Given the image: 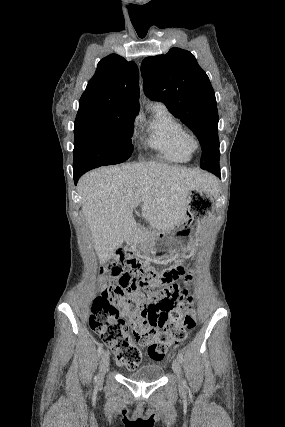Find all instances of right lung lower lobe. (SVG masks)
Segmentation results:
<instances>
[{
    "label": "right lung lower lobe",
    "mask_w": 285,
    "mask_h": 427,
    "mask_svg": "<svg viewBox=\"0 0 285 427\" xmlns=\"http://www.w3.org/2000/svg\"><path fill=\"white\" fill-rule=\"evenodd\" d=\"M74 172V182H75V184H77V181H78V179L80 178V176L82 175V174H84L85 172H82V171H73Z\"/></svg>",
    "instance_id": "98d812e1"
}]
</instances>
